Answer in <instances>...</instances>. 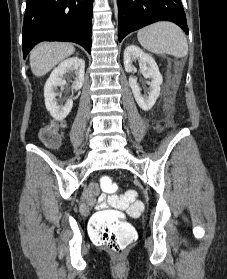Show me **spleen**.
Masks as SVG:
<instances>
[{"label": "spleen", "mask_w": 227, "mask_h": 279, "mask_svg": "<svg viewBox=\"0 0 227 279\" xmlns=\"http://www.w3.org/2000/svg\"><path fill=\"white\" fill-rule=\"evenodd\" d=\"M143 48L155 54H170L177 58L188 54L187 39L182 30L170 22H158L138 31Z\"/></svg>", "instance_id": "1"}]
</instances>
